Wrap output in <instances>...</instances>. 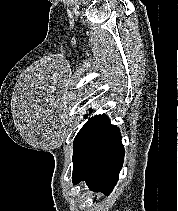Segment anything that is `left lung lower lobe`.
Masks as SVG:
<instances>
[{
	"label": "left lung lower lobe",
	"instance_id": "left-lung-lower-lobe-1",
	"mask_svg": "<svg viewBox=\"0 0 178 211\" xmlns=\"http://www.w3.org/2000/svg\"><path fill=\"white\" fill-rule=\"evenodd\" d=\"M124 160L119 129L103 114L74 149L73 184L85 181L95 192L109 195Z\"/></svg>",
	"mask_w": 178,
	"mask_h": 211
}]
</instances>
